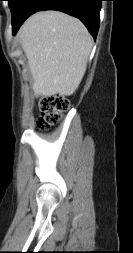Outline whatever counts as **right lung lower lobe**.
<instances>
[{
    "label": "right lung lower lobe",
    "instance_id": "obj_1",
    "mask_svg": "<svg viewBox=\"0 0 133 253\" xmlns=\"http://www.w3.org/2000/svg\"><path fill=\"white\" fill-rule=\"evenodd\" d=\"M103 0H25L20 9L19 19L12 26L16 34L22 23L33 13L42 10H57L80 19L96 39L99 16Z\"/></svg>",
    "mask_w": 133,
    "mask_h": 253
}]
</instances>
